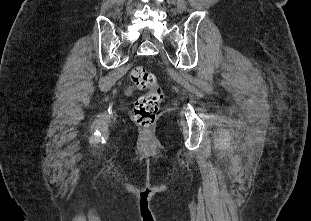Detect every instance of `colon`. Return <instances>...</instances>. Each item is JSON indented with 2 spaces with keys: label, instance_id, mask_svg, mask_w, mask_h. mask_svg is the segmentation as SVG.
<instances>
[{
  "label": "colon",
  "instance_id": "1",
  "mask_svg": "<svg viewBox=\"0 0 311 221\" xmlns=\"http://www.w3.org/2000/svg\"><path fill=\"white\" fill-rule=\"evenodd\" d=\"M131 89H147L148 93L138 98L133 109V121L140 128H150L163 99L162 88L156 78L144 67H135L130 74Z\"/></svg>",
  "mask_w": 311,
  "mask_h": 221
}]
</instances>
